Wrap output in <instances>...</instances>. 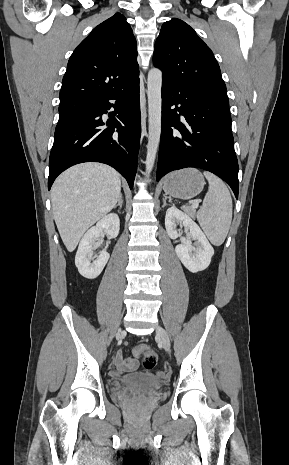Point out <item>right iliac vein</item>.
Masks as SVG:
<instances>
[{
    "mask_svg": "<svg viewBox=\"0 0 289 465\" xmlns=\"http://www.w3.org/2000/svg\"><path fill=\"white\" fill-rule=\"evenodd\" d=\"M123 333H124L123 330H119L118 333H117V336L119 337V336H121Z\"/></svg>",
    "mask_w": 289,
    "mask_h": 465,
    "instance_id": "obj_1",
    "label": "right iliac vein"
}]
</instances>
